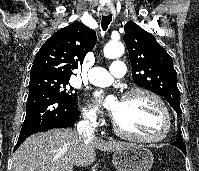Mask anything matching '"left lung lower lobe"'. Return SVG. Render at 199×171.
Returning a JSON list of instances; mask_svg holds the SVG:
<instances>
[{
    "mask_svg": "<svg viewBox=\"0 0 199 171\" xmlns=\"http://www.w3.org/2000/svg\"><path fill=\"white\" fill-rule=\"evenodd\" d=\"M171 145L179 148L181 151H183L184 154H186V147H185V144H184L180 134H178V139L176 141L172 142Z\"/></svg>",
    "mask_w": 199,
    "mask_h": 171,
    "instance_id": "1",
    "label": "left lung lower lobe"
}]
</instances>
